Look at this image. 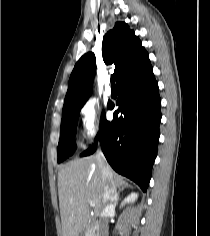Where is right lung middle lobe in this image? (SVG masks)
<instances>
[{"label":"right lung middle lobe","mask_w":210,"mask_h":236,"mask_svg":"<svg viewBox=\"0 0 210 236\" xmlns=\"http://www.w3.org/2000/svg\"><path fill=\"white\" fill-rule=\"evenodd\" d=\"M81 108L62 112L60 140L58 144V163L71 156L76 149L75 132ZM104 115L105 113L103 111L101 119Z\"/></svg>","instance_id":"dd1d6c3e"}]
</instances>
